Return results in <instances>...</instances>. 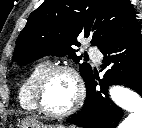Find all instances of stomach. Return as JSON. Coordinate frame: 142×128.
Listing matches in <instances>:
<instances>
[{
    "label": "stomach",
    "mask_w": 142,
    "mask_h": 128,
    "mask_svg": "<svg viewBox=\"0 0 142 128\" xmlns=\"http://www.w3.org/2000/svg\"><path fill=\"white\" fill-rule=\"evenodd\" d=\"M19 128H65V127L60 124L45 125L35 118H26L20 123ZM69 128H73V127H69Z\"/></svg>",
    "instance_id": "1"
}]
</instances>
